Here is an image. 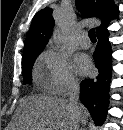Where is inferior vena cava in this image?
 <instances>
[{"label": "inferior vena cava", "mask_w": 123, "mask_h": 130, "mask_svg": "<svg viewBox=\"0 0 123 130\" xmlns=\"http://www.w3.org/2000/svg\"><path fill=\"white\" fill-rule=\"evenodd\" d=\"M80 86L77 81L70 80L67 90L69 106L72 112V130H79L81 122V107L79 104Z\"/></svg>", "instance_id": "inferior-vena-cava-1"}]
</instances>
